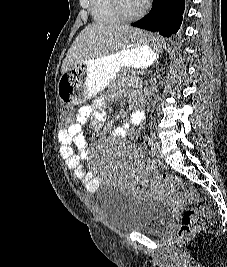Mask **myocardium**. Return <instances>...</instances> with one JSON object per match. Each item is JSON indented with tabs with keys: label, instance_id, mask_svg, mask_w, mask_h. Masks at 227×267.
<instances>
[{
	"label": "myocardium",
	"instance_id": "myocardium-1",
	"mask_svg": "<svg viewBox=\"0 0 227 267\" xmlns=\"http://www.w3.org/2000/svg\"><path fill=\"white\" fill-rule=\"evenodd\" d=\"M112 9L115 14L123 21H134L139 19L146 10L145 6H142L137 12L135 13H127L122 5V0H111Z\"/></svg>",
	"mask_w": 227,
	"mask_h": 267
}]
</instances>
